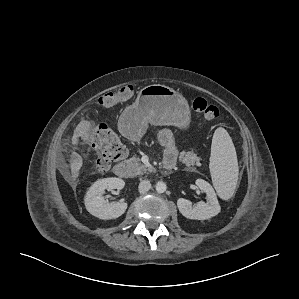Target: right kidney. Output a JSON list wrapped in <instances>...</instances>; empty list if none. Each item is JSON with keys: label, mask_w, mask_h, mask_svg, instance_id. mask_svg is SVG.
Returning <instances> with one entry per match:
<instances>
[{"label": "right kidney", "mask_w": 299, "mask_h": 299, "mask_svg": "<svg viewBox=\"0 0 299 299\" xmlns=\"http://www.w3.org/2000/svg\"><path fill=\"white\" fill-rule=\"evenodd\" d=\"M125 182L116 177L99 179L89 188L85 195L86 210L93 216L103 219H116L126 211L128 205L126 202H112L105 201L102 196L105 190L122 189Z\"/></svg>", "instance_id": "1"}]
</instances>
